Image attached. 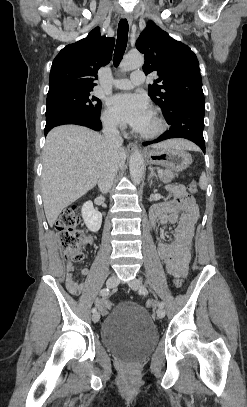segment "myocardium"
Listing matches in <instances>:
<instances>
[{
  "mask_svg": "<svg viewBox=\"0 0 247 407\" xmlns=\"http://www.w3.org/2000/svg\"><path fill=\"white\" fill-rule=\"evenodd\" d=\"M150 114L153 116L156 122V129L151 132H142L135 130V133L143 139H155L161 136L167 129V123L157 110H151Z\"/></svg>",
  "mask_w": 247,
  "mask_h": 407,
  "instance_id": "obj_1",
  "label": "myocardium"
}]
</instances>
